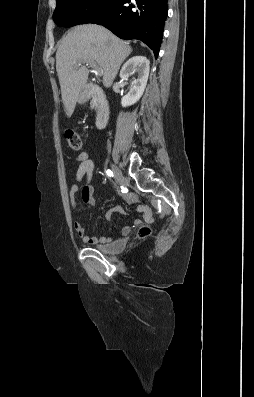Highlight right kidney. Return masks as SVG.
Masks as SVG:
<instances>
[{"label":"right kidney","mask_w":254,"mask_h":397,"mask_svg":"<svg viewBox=\"0 0 254 397\" xmlns=\"http://www.w3.org/2000/svg\"><path fill=\"white\" fill-rule=\"evenodd\" d=\"M150 71V62L145 56H134L129 59L120 71L122 79H128L134 72L138 78L132 82V88L121 99L122 107L135 104L143 95Z\"/></svg>","instance_id":"1"}]
</instances>
